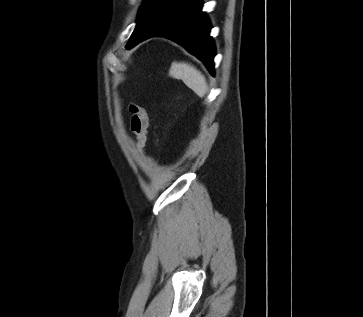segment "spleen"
I'll use <instances>...</instances> for the list:
<instances>
[{"instance_id":"3e777b00","label":"spleen","mask_w":363,"mask_h":317,"mask_svg":"<svg viewBox=\"0 0 363 317\" xmlns=\"http://www.w3.org/2000/svg\"><path fill=\"white\" fill-rule=\"evenodd\" d=\"M170 75L175 79H181L185 85L192 89L199 97H203L207 91L206 79L195 67L184 62H173Z\"/></svg>"}]
</instances>
